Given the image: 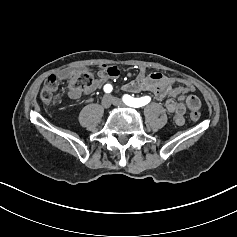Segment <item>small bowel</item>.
Here are the masks:
<instances>
[{
    "mask_svg": "<svg viewBox=\"0 0 237 237\" xmlns=\"http://www.w3.org/2000/svg\"><path fill=\"white\" fill-rule=\"evenodd\" d=\"M72 73L70 69L62 70L58 75V79L66 81L72 76ZM120 73V69L116 66H100L97 76L89 88L82 91H75L69 88L68 96L72 99H78L82 95L90 94L96 89L105 86L109 81L116 79ZM177 84L179 85L176 86ZM123 88L132 93L149 92L158 101L166 99L165 108L168 113L173 115L177 125L184 123L187 110H198L200 107L198 97L191 94L195 91V86L190 81L182 78L167 77L160 73L146 74L144 70H141L137 77L127 82Z\"/></svg>",
    "mask_w": 237,
    "mask_h": 237,
    "instance_id": "c3829d8e",
    "label": "small bowel"
}]
</instances>
